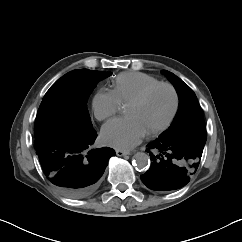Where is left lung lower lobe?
<instances>
[{"instance_id":"left-lung-lower-lobe-1","label":"left lung lower lobe","mask_w":242,"mask_h":242,"mask_svg":"<svg viewBox=\"0 0 242 242\" xmlns=\"http://www.w3.org/2000/svg\"><path fill=\"white\" fill-rule=\"evenodd\" d=\"M147 146L152 163L140 178L149 189L160 192L185 186L195 174L204 148L195 143H169L159 139Z\"/></svg>"}]
</instances>
